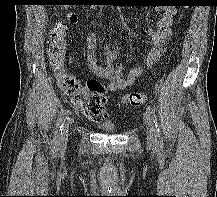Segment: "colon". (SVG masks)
Returning a JSON list of instances; mask_svg holds the SVG:
<instances>
[{"label": "colon", "mask_w": 217, "mask_h": 197, "mask_svg": "<svg viewBox=\"0 0 217 197\" xmlns=\"http://www.w3.org/2000/svg\"><path fill=\"white\" fill-rule=\"evenodd\" d=\"M67 51V26L58 21L50 29L47 52L52 68L56 72L58 85L71 105L83 115L95 122H101L107 117L106 88L96 81L89 80L83 86L73 75L64 69V58ZM148 97L140 92H132L122 98L123 103L140 106Z\"/></svg>", "instance_id": "1"}]
</instances>
